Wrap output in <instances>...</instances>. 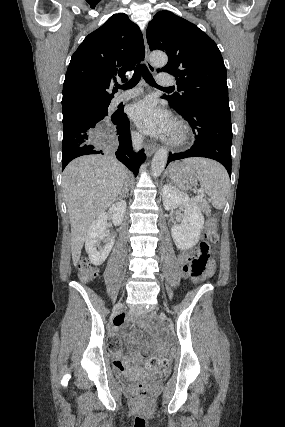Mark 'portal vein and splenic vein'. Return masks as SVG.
Here are the masks:
<instances>
[{
  "mask_svg": "<svg viewBox=\"0 0 285 427\" xmlns=\"http://www.w3.org/2000/svg\"><path fill=\"white\" fill-rule=\"evenodd\" d=\"M204 196V191L203 190H199L198 191V195L195 196L193 199L194 200H198L199 198H202Z\"/></svg>",
  "mask_w": 285,
  "mask_h": 427,
  "instance_id": "1",
  "label": "portal vein and splenic vein"
}]
</instances>
